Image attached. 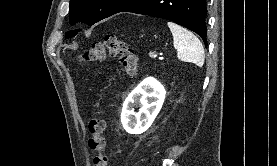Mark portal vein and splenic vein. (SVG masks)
<instances>
[{"instance_id": "obj_1", "label": "portal vein and splenic vein", "mask_w": 277, "mask_h": 166, "mask_svg": "<svg viewBox=\"0 0 277 166\" xmlns=\"http://www.w3.org/2000/svg\"><path fill=\"white\" fill-rule=\"evenodd\" d=\"M150 57L155 59V58H158V55L155 54V53H151V54H150Z\"/></svg>"}]
</instances>
